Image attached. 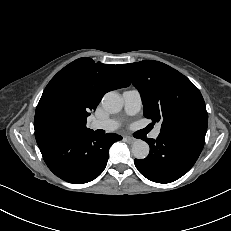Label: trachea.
<instances>
[{
  "instance_id": "obj_1",
  "label": "trachea",
  "mask_w": 231,
  "mask_h": 231,
  "mask_svg": "<svg viewBox=\"0 0 231 231\" xmlns=\"http://www.w3.org/2000/svg\"><path fill=\"white\" fill-rule=\"evenodd\" d=\"M152 127L150 126V127H148V131L151 129Z\"/></svg>"
}]
</instances>
